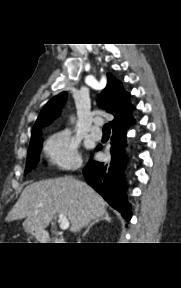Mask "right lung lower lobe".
Masks as SVG:
<instances>
[{
  "label": "right lung lower lobe",
  "instance_id": "obj_1",
  "mask_svg": "<svg viewBox=\"0 0 181 288\" xmlns=\"http://www.w3.org/2000/svg\"><path fill=\"white\" fill-rule=\"evenodd\" d=\"M127 128L128 126L113 129L109 160L107 162L90 161L84 167L83 173L87 183L119 211L126 221H129L132 212L126 194L128 185L123 175L127 161L125 154Z\"/></svg>",
  "mask_w": 181,
  "mask_h": 288
}]
</instances>
